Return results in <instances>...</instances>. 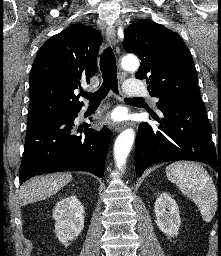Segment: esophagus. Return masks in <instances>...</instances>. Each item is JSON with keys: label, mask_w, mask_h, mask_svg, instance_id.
<instances>
[{"label": "esophagus", "mask_w": 221, "mask_h": 256, "mask_svg": "<svg viewBox=\"0 0 221 256\" xmlns=\"http://www.w3.org/2000/svg\"><path fill=\"white\" fill-rule=\"evenodd\" d=\"M106 38L110 45L115 46L116 45V32L113 26H109L106 29ZM133 125L130 122L126 123H116L113 125V128L115 131H121L126 126Z\"/></svg>", "instance_id": "1"}]
</instances>
